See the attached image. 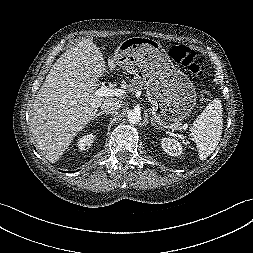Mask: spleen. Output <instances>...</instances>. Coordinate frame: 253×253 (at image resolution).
<instances>
[{
	"label": "spleen",
	"instance_id": "3e777b00",
	"mask_svg": "<svg viewBox=\"0 0 253 253\" xmlns=\"http://www.w3.org/2000/svg\"><path fill=\"white\" fill-rule=\"evenodd\" d=\"M222 129V104L216 98L197 117L191 128L190 139L196 143L200 160L213 153L221 139Z\"/></svg>",
	"mask_w": 253,
	"mask_h": 253
}]
</instances>
